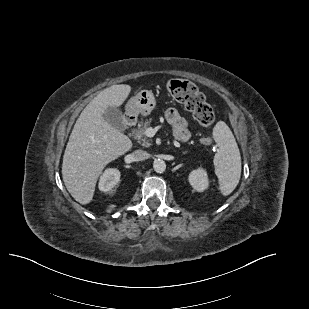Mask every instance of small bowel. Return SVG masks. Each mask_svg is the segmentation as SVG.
<instances>
[{
  "mask_svg": "<svg viewBox=\"0 0 309 309\" xmlns=\"http://www.w3.org/2000/svg\"><path fill=\"white\" fill-rule=\"evenodd\" d=\"M166 119L173 126V137L176 141L185 142L189 139L187 123L175 108H169L166 111Z\"/></svg>",
  "mask_w": 309,
  "mask_h": 309,
  "instance_id": "c3829d8e",
  "label": "small bowel"
}]
</instances>
